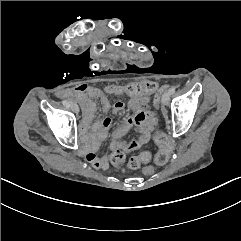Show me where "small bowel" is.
<instances>
[{
    "label": "small bowel",
    "mask_w": 241,
    "mask_h": 241,
    "mask_svg": "<svg viewBox=\"0 0 241 241\" xmlns=\"http://www.w3.org/2000/svg\"><path fill=\"white\" fill-rule=\"evenodd\" d=\"M121 86L122 85L111 84L106 86L104 90H101L93 86L80 84L73 89L61 93V96L64 98H75L79 100L84 107L85 128L83 129L82 135L85 140L90 141L92 147L95 146L93 151L85 153V159L95 168L106 169L109 166L108 156L99 158L95 153L99 150V143L105 139L108 134L111 126V119L109 117H104L100 123H96L91 127L95 104L90 99H99L104 112L112 108L113 112L118 114L125 108V103L119 100L111 105L107 95H127L122 92ZM150 95L151 94L143 95L140 98L127 95L130 98L128 106L134 111V115L124 119L122 123L112 131V141L109 146L111 154L117 150L123 153H129L144 147L149 142L158 124V119L155 113L150 109L148 103ZM131 128H135L139 136L131 141L122 140L121 138Z\"/></svg>",
    "instance_id": "obj_1"
}]
</instances>
